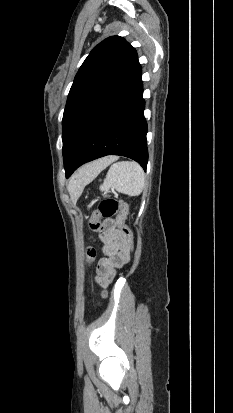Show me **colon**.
<instances>
[{
  "label": "colon",
  "mask_w": 233,
  "mask_h": 413,
  "mask_svg": "<svg viewBox=\"0 0 233 413\" xmlns=\"http://www.w3.org/2000/svg\"><path fill=\"white\" fill-rule=\"evenodd\" d=\"M116 215V226L120 234L125 238L129 250H132L133 240L131 231L125 224L127 216V205L125 202L107 198L100 202L98 208L94 211L88 220V227L94 233H103L106 229L105 223L101 219H109ZM87 260L89 263L93 262L96 257V251L93 247L87 249Z\"/></svg>",
  "instance_id": "obj_1"
}]
</instances>
